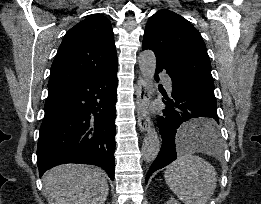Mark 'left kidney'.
Instances as JSON below:
<instances>
[{"instance_id":"1","label":"left kidney","mask_w":261,"mask_h":204,"mask_svg":"<svg viewBox=\"0 0 261 204\" xmlns=\"http://www.w3.org/2000/svg\"><path fill=\"white\" fill-rule=\"evenodd\" d=\"M165 204H181L174 198H170Z\"/></svg>"}]
</instances>
